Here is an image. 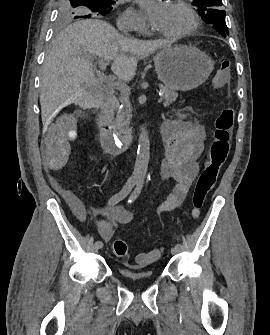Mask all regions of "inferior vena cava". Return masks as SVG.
Returning a JSON list of instances; mask_svg holds the SVG:
<instances>
[{
	"label": "inferior vena cava",
	"mask_w": 270,
	"mask_h": 335,
	"mask_svg": "<svg viewBox=\"0 0 270 335\" xmlns=\"http://www.w3.org/2000/svg\"><path fill=\"white\" fill-rule=\"evenodd\" d=\"M117 28L120 32H122V34H124V36H128L129 26L127 20L119 18V20H117Z\"/></svg>",
	"instance_id": "1"
}]
</instances>
